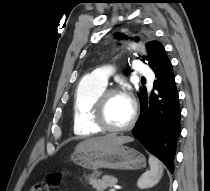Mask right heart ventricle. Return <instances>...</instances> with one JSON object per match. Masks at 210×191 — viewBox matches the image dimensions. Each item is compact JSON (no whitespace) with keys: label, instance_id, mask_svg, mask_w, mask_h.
<instances>
[{"label":"right heart ventricle","instance_id":"right-heart-ventricle-1","mask_svg":"<svg viewBox=\"0 0 210 191\" xmlns=\"http://www.w3.org/2000/svg\"><path fill=\"white\" fill-rule=\"evenodd\" d=\"M105 85L83 78L75 91L73 103V132L77 136L89 137L101 132L91 121L92 106Z\"/></svg>","mask_w":210,"mask_h":191}]
</instances>
